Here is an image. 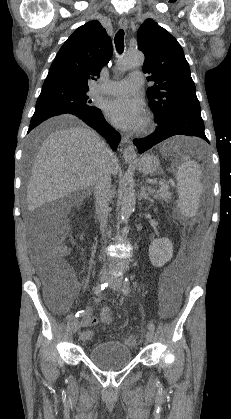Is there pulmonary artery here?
Masks as SVG:
<instances>
[{
	"label": "pulmonary artery",
	"instance_id": "e3ab8cb5",
	"mask_svg": "<svg viewBox=\"0 0 231 419\" xmlns=\"http://www.w3.org/2000/svg\"><path fill=\"white\" fill-rule=\"evenodd\" d=\"M143 83L144 77L142 73L133 72L124 80L112 81L105 86L98 87L95 92L109 95H122L140 89Z\"/></svg>",
	"mask_w": 231,
	"mask_h": 419
}]
</instances>
